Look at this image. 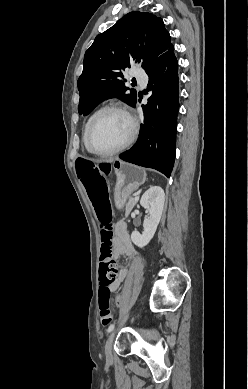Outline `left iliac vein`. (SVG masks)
Returning a JSON list of instances; mask_svg holds the SVG:
<instances>
[{
    "instance_id": "1",
    "label": "left iliac vein",
    "mask_w": 248,
    "mask_h": 389,
    "mask_svg": "<svg viewBox=\"0 0 248 389\" xmlns=\"http://www.w3.org/2000/svg\"><path fill=\"white\" fill-rule=\"evenodd\" d=\"M115 334V330L112 331L105 344V356L108 362H111L112 360V345L114 342Z\"/></svg>"
}]
</instances>
